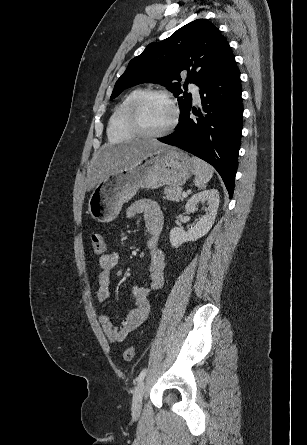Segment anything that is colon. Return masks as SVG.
<instances>
[{"mask_svg": "<svg viewBox=\"0 0 307 445\" xmlns=\"http://www.w3.org/2000/svg\"><path fill=\"white\" fill-rule=\"evenodd\" d=\"M91 246L95 253L99 255H103L107 251L106 242L103 236L99 232H94L90 236ZM135 354L134 347L132 345H128L123 353V358L126 362H130Z\"/></svg>", "mask_w": 307, "mask_h": 445, "instance_id": "obj_1", "label": "colon"}]
</instances>
